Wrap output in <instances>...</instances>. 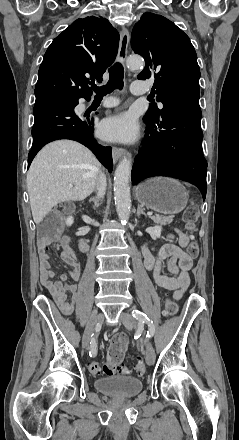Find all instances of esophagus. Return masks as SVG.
Segmentation results:
<instances>
[{
  "label": "esophagus",
  "mask_w": 239,
  "mask_h": 440,
  "mask_svg": "<svg viewBox=\"0 0 239 440\" xmlns=\"http://www.w3.org/2000/svg\"><path fill=\"white\" fill-rule=\"evenodd\" d=\"M129 32L126 28H123L120 32V43H119V51H118V61L120 63H125L126 57H127V49H128V43H129ZM125 154V149L120 147H113L112 155H113V162L116 163L120 157H122Z\"/></svg>",
  "instance_id": "obj_1"
}]
</instances>
